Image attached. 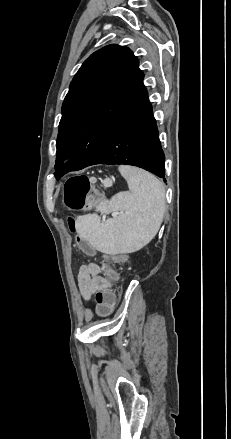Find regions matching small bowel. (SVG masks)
Here are the masks:
<instances>
[{"label":"small bowel","instance_id":"1","mask_svg":"<svg viewBox=\"0 0 231 439\" xmlns=\"http://www.w3.org/2000/svg\"><path fill=\"white\" fill-rule=\"evenodd\" d=\"M78 286L82 298L86 301L95 297L101 287H109L112 290V282H108L100 274V267L95 263L85 264L80 267Z\"/></svg>","mask_w":231,"mask_h":439}]
</instances>
